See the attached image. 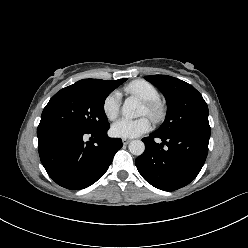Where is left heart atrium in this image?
Here are the masks:
<instances>
[{"mask_svg":"<svg viewBox=\"0 0 248 248\" xmlns=\"http://www.w3.org/2000/svg\"><path fill=\"white\" fill-rule=\"evenodd\" d=\"M151 129V122L146 117L138 119L121 118L111 127L114 136L120 138H135Z\"/></svg>","mask_w":248,"mask_h":248,"instance_id":"obj_1","label":"left heart atrium"}]
</instances>
